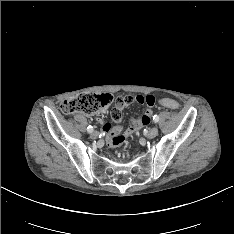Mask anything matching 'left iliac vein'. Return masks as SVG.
Wrapping results in <instances>:
<instances>
[{
  "label": "left iliac vein",
  "instance_id": "left-iliac-vein-1",
  "mask_svg": "<svg viewBox=\"0 0 234 234\" xmlns=\"http://www.w3.org/2000/svg\"><path fill=\"white\" fill-rule=\"evenodd\" d=\"M158 135V128L156 126L152 127L147 133L149 139L155 138Z\"/></svg>",
  "mask_w": 234,
  "mask_h": 234
}]
</instances>
